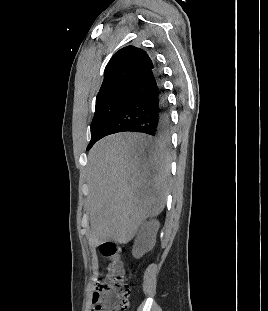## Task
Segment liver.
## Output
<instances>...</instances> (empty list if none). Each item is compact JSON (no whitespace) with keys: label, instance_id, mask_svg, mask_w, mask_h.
<instances>
[{"label":"liver","instance_id":"obj_1","mask_svg":"<svg viewBox=\"0 0 268 311\" xmlns=\"http://www.w3.org/2000/svg\"><path fill=\"white\" fill-rule=\"evenodd\" d=\"M169 154L142 134L118 133L99 140L88 153L86 180L90 245L129 242L148 217L165 207Z\"/></svg>","mask_w":268,"mask_h":311}]
</instances>
